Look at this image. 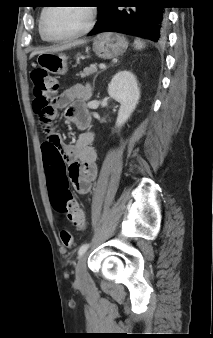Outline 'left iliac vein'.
<instances>
[{
  "label": "left iliac vein",
  "instance_id": "obj_1",
  "mask_svg": "<svg viewBox=\"0 0 213 338\" xmlns=\"http://www.w3.org/2000/svg\"><path fill=\"white\" fill-rule=\"evenodd\" d=\"M76 280L83 282L86 278V255H82L75 268Z\"/></svg>",
  "mask_w": 213,
  "mask_h": 338
}]
</instances>
